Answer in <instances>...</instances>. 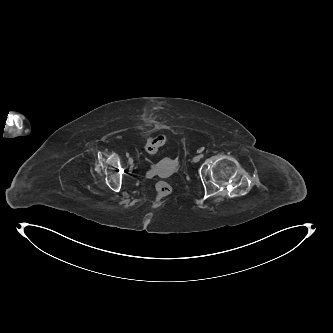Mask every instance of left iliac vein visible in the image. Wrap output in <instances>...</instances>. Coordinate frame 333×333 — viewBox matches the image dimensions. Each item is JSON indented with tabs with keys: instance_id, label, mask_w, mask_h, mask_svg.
Returning <instances> with one entry per match:
<instances>
[{
	"instance_id": "4c4485c4",
	"label": "left iliac vein",
	"mask_w": 333,
	"mask_h": 333,
	"mask_svg": "<svg viewBox=\"0 0 333 333\" xmlns=\"http://www.w3.org/2000/svg\"><path fill=\"white\" fill-rule=\"evenodd\" d=\"M200 159H201V156L200 155H198V156H195L194 158H193V162H198V161H200Z\"/></svg>"
}]
</instances>
